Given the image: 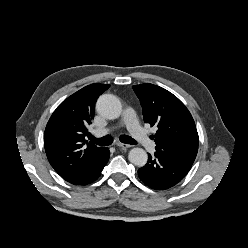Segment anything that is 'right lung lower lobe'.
<instances>
[{"instance_id": "right-lung-lower-lobe-1", "label": "right lung lower lobe", "mask_w": 248, "mask_h": 248, "mask_svg": "<svg viewBox=\"0 0 248 248\" xmlns=\"http://www.w3.org/2000/svg\"><path fill=\"white\" fill-rule=\"evenodd\" d=\"M110 152L108 148L104 150L92 161L87 169L77 178L69 181L75 185H87L95 181L101 175V171L109 160Z\"/></svg>"}]
</instances>
